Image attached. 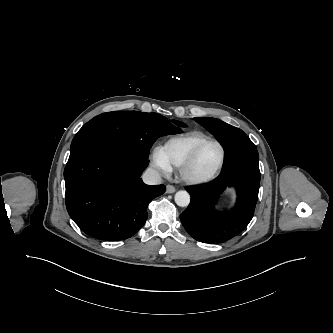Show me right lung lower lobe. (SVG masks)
<instances>
[{
  "mask_svg": "<svg viewBox=\"0 0 333 333\" xmlns=\"http://www.w3.org/2000/svg\"><path fill=\"white\" fill-rule=\"evenodd\" d=\"M148 164L149 160L100 138L71 145L64 170L70 217L83 232L100 240L133 236L146 222L149 202L166 190L164 185L143 183L140 176Z\"/></svg>",
  "mask_w": 333,
  "mask_h": 333,
  "instance_id": "1",
  "label": "right lung lower lobe"
}]
</instances>
